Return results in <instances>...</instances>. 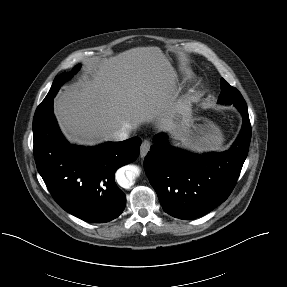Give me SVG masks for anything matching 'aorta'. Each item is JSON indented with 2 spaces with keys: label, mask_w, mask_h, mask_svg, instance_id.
<instances>
[{
  "label": "aorta",
  "mask_w": 287,
  "mask_h": 287,
  "mask_svg": "<svg viewBox=\"0 0 287 287\" xmlns=\"http://www.w3.org/2000/svg\"><path fill=\"white\" fill-rule=\"evenodd\" d=\"M119 182L121 185L125 188L131 186L133 184V172H128L127 177L125 176H119L118 177Z\"/></svg>",
  "instance_id": "1"
}]
</instances>
